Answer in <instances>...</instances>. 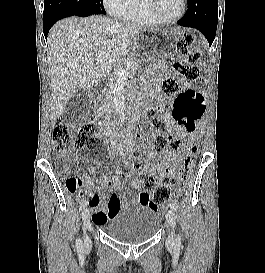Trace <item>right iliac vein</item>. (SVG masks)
I'll return each instance as SVG.
<instances>
[{
	"mask_svg": "<svg viewBox=\"0 0 265 273\" xmlns=\"http://www.w3.org/2000/svg\"><path fill=\"white\" fill-rule=\"evenodd\" d=\"M82 221H83V226H84V245L86 247L91 245V240L89 236L86 233L87 228L89 227L90 224V210L89 209H84L82 212Z\"/></svg>",
	"mask_w": 265,
	"mask_h": 273,
	"instance_id": "1",
	"label": "right iliac vein"
}]
</instances>
